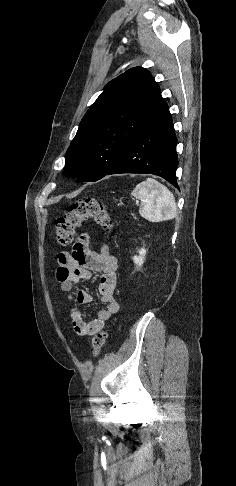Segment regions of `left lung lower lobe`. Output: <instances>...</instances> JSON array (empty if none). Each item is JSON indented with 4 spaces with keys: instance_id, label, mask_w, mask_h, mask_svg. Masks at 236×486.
<instances>
[{
    "instance_id": "left-lung-lower-lobe-1",
    "label": "left lung lower lobe",
    "mask_w": 236,
    "mask_h": 486,
    "mask_svg": "<svg viewBox=\"0 0 236 486\" xmlns=\"http://www.w3.org/2000/svg\"><path fill=\"white\" fill-rule=\"evenodd\" d=\"M177 138L167 108L130 143L106 175L142 173L158 175L178 188Z\"/></svg>"
}]
</instances>
